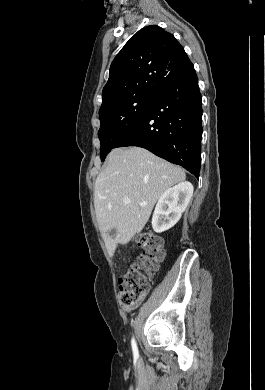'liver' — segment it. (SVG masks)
Here are the masks:
<instances>
[{
  "instance_id": "liver-1",
  "label": "liver",
  "mask_w": 265,
  "mask_h": 390,
  "mask_svg": "<svg viewBox=\"0 0 265 390\" xmlns=\"http://www.w3.org/2000/svg\"><path fill=\"white\" fill-rule=\"evenodd\" d=\"M185 179L180 167L144 148L113 149L94 191L96 218L109 253L113 255L118 243L126 244L140 233L160 196ZM125 197L129 204L123 202ZM112 229L114 238L109 235Z\"/></svg>"
}]
</instances>
